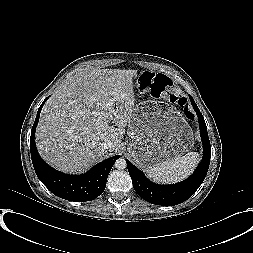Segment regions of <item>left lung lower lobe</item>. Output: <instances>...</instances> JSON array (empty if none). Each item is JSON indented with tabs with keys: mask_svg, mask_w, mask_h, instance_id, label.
<instances>
[{
	"mask_svg": "<svg viewBox=\"0 0 253 253\" xmlns=\"http://www.w3.org/2000/svg\"><path fill=\"white\" fill-rule=\"evenodd\" d=\"M190 100L198 115L204 154L201 163L187 180L174 185H158L149 181L138 168L126 160L134 190L149 203L163 206L180 204L195 193L206 177L211 156L210 141L204 117L191 96Z\"/></svg>",
	"mask_w": 253,
	"mask_h": 253,
	"instance_id": "obj_1",
	"label": "left lung lower lobe"
}]
</instances>
